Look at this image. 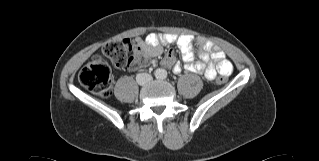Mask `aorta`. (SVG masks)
<instances>
[{"label": "aorta", "mask_w": 319, "mask_h": 161, "mask_svg": "<svg viewBox=\"0 0 319 161\" xmlns=\"http://www.w3.org/2000/svg\"><path fill=\"white\" fill-rule=\"evenodd\" d=\"M156 76L159 78H163L166 76V70L164 69H157L156 70Z\"/></svg>", "instance_id": "aorta-1"}]
</instances>
